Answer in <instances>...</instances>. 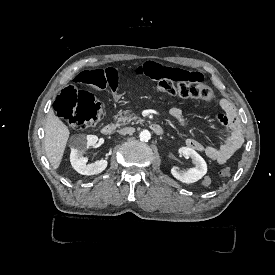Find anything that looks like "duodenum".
Listing matches in <instances>:
<instances>
[{
    "mask_svg": "<svg viewBox=\"0 0 275 275\" xmlns=\"http://www.w3.org/2000/svg\"><path fill=\"white\" fill-rule=\"evenodd\" d=\"M150 128H151L152 132L157 135H161L164 132L163 127L156 123L151 124ZM114 132H115V125L112 123H108L101 128V133L105 136H110Z\"/></svg>",
    "mask_w": 275,
    "mask_h": 275,
    "instance_id": "duodenum-1",
    "label": "duodenum"
}]
</instances>
